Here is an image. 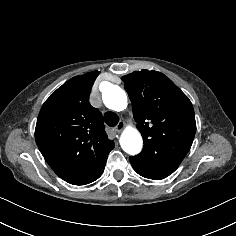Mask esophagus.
<instances>
[{
	"instance_id": "34e87169",
	"label": "esophagus",
	"mask_w": 236,
	"mask_h": 236,
	"mask_svg": "<svg viewBox=\"0 0 236 236\" xmlns=\"http://www.w3.org/2000/svg\"><path fill=\"white\" fill-rule=\"evenodd\" d=\"M124 126H125V123L124 122H120L119 124L116 125L115 130L117 132H121L123 130Z\"/></svg>"
}]
</instances>
